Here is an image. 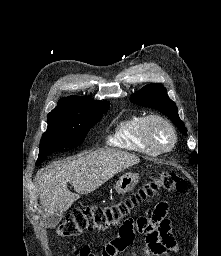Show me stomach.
<instances>
[{"mask_svg":"<svg viewBox=\"0 0 221 256\" xmlns=\"http://www.w3.org/2000/svg\"><path fill=\"white\" fill-rule=\"evenodd\" d=\"M139 182V176L135 173H126L122 175L115 185L119 194H125L131 191Z\"/></svg>","mask_w":221,"mask_h":256,"instance_id":"1","label":"stomach"}]
</instances>
